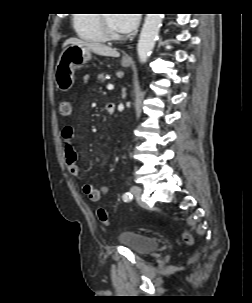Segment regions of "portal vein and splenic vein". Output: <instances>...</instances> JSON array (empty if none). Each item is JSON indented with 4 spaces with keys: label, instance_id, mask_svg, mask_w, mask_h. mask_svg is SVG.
<instances>
[{
    "label": "portal vein and splenic vein",
    "instance_id": "obj_1",
    "mask_svg": "<svg viewBox=\"0 0 252 303\" xmlns=\"http://www.w3.org/2000/svg\"><path fill=\"white\" fill-rule=\"evenodd\" d=\"M113 88H114V86H113L112 84H108V85H107V89H108V90H112Z\"/></svg>",
    "mask_w": 252,
    "mask_h": 303
}]
</instances>
